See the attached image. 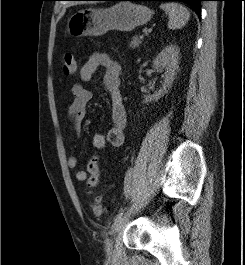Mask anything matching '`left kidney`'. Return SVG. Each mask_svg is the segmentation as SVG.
Segmentation results:
<instances>
[{
    "label": "left kidney",
    "instance_id": "obj_1",
    "mask_svg": "<svg viewBox=\"0 0 245 265\" xmlns=\"http://www.w3.org/2000/svg\"><path fill=\"white\" fill-rule=\"evenodd\" d=\"M178 60H179V48L176 45L166 46L153 60V68L165 71L164 72V83L162 88L156 91L153 95L144 96V103L157 101L164 94L167 93L168 89L171 87L173 80L178 70Z\"/></svg>",
    "mask_w": 245,
    "mask_h": 265
}]
</instances>
